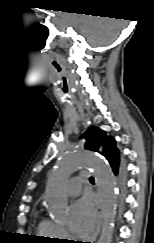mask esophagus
Instances as JSON below:
<instances>
[{"label": "esophagus", "mask_w": 154, "mask_h": 243, "mask_svg": "<svg viewBox=\"0 0 154 243\" xmlns=\"http://www.w3.org/2000/svg\"><path fill=\"white\" fill-rule=\"evenodd\" d=\"M101 225H102V208L101 205H98L97 225L93 234L88 238L87 243H93L96 240L100 232Z\"/></svg>", "instance_id": "34e87169"}]
</instances>
